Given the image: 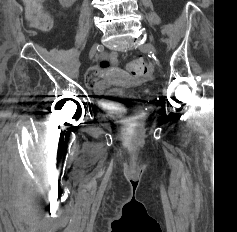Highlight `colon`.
Instances as JSON below:
<instances>
[{"mask_svg": "<svg viewBox=\"0 0 237 232\" xmlns=\"http://www.w3.org/2000/svg\"><path fill=\"white\" fill-rule=\"evenodd\" d=\"M23 2L26 9V19L30 27L43 31L51 28L52 18L43 7L44 0H23ZM99 68L108 70L112 68V63L108 60H101ZM128 70L134 77L142 78L148 76L149 65L142 57H138L129 63Z\"/></svg>", "mask_w": 237, "mask_h": 232, "instance_id": "colon-1", "label": "colon"}]
</instances>
